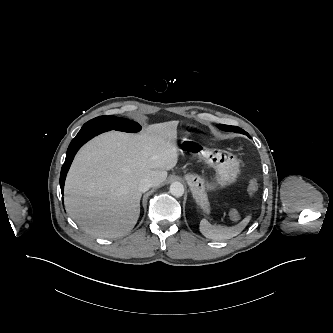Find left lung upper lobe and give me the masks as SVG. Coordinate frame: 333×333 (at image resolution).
Instances as JSON below:
<instances>
[{
    "label": "left lung upper lobe",
    "instance_id": "1",
    "mask_svg": "<svg viewBox=\"0 0 333 333\" xmlns=\"http://www.w3.org/2000/svg\"><path fill=\"white\" fill-rule=\"evenodd\" d=\"M217 127L221 130L229 131V132H232V131H234L236 133L245 132L244 130L240 129L237 126H229V125L218 124Z\"/></svg>",
    "mask_w": 333,
    "mask_h": 333
}]
</instances>
